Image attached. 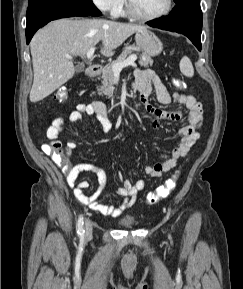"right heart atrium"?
I'll list each match as a JSON object with an SVG mask.
<instances>
[{
    "label": "right heart atrium",
    "instance_id": "right-heart-atrium-1",
    "mask_svg": "<svg viewBox=\"0 0 243 289\" xmlns=\"http://www.w3.org/2000/svg\"><path fill=\"white\" fill-rule=\"evenodd\" d=\"M102 11L115 16L122 6L123 0H92Z\"/></svg>",
    "mask_w": 243,
    "mask_h": 289
}]
</instances>
